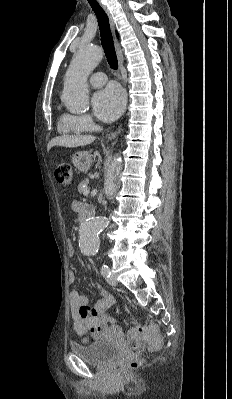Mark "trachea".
Wrapping results in <instances>:
<instances>
[{"instance_id": "1", "label": "trachea", "mask_w": 232, "mask_h": 399, "mask_svg": "<svg viewBox=\"0 0 232 399\" xmlns=\"http://www.w3.org/2000/svg\"><path fill=\"white\" fill-rule=\"evenodd\" d=\"M87 1L90 3L95 15L97 16L102 47L104 49L107 61L110 67L116 70L118 67L117 55L115 53L108 16L106 15L103 8L99 5L97 0H87Z\"/></svg>"}]
</instances>
